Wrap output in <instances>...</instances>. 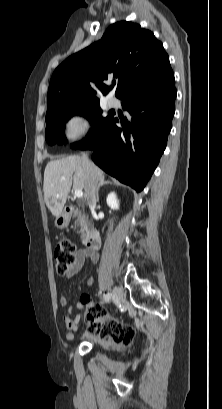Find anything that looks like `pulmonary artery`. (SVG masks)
I'll return each mask as SVG.
<instances>
[{
    "label": "pulmonary artery",
    "mask_w": 222,
    "mask_h": 409,
    "mask_svg": "<svg viewBox=\"0 0 222 409\" xmlns=\"http://www.w3.org/2000/svg\"><path fill=\"white\" fill-rule=\"evenodd\" d=\"M108 106L109 107H115L116 105H117V100H116V98H114V97H110L109 99H108Z\"/></svg>",
    "instance_id": "pulmonary-artery-1"
}]
</instances>
